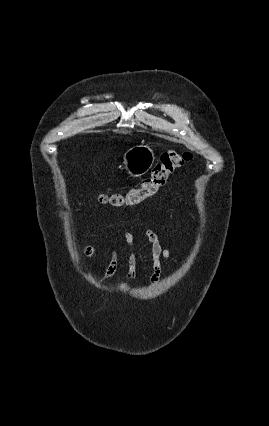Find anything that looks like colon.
<instances>
[{
    "label": "colon",
    "mask_w": 269,
    "mask_h": 426,
    "mask_svg": "<svg viewBox=\"0 0 269 426\" xmlns=\"http://www.w3.org/2000/svg\"><path fill=\"white\" fill-rule=\"evenodd\" d=\"M191 159L188 151H167L153 165L148 176L138 186L124 193H114L101 198L103 203L113 206H136L147 198L154 196L167 182L169 176Z\"/></svg>",
    "instance_id": "obj_1"
}]
</instances>
